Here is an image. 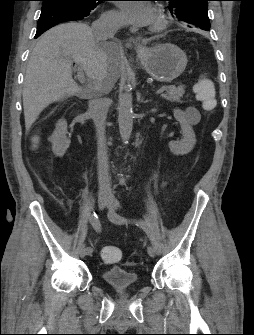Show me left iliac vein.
I'll list each match as a JSON object with an SVG mask.
<instances>
[{
	"mask_svg": "<svg viewBox=\"0 0 254 335\" xmlns=\"http://www.w3.org/2000/svg\"><path fill=\"white\" fill-rule=\"evenodd\" d=\"M119 207V203L116 200H110L109 204H108V208H109V214L108 217L111 221H114L113 219V214L115 213L116 209ZM147 252L149 254L150 257H155L156 256V251L152 246H148L147 248Z\"/></svg>",
	"mask_w": 254,
	"mask_h": 335,
	"instance_id": "1",
	"label": "left iliac vein"
}]
</instances>
